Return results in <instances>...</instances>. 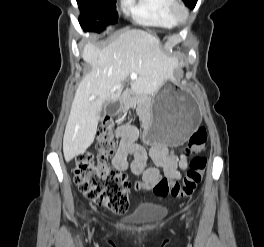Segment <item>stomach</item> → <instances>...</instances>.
<instances>
[{
	"label": "stomach",
	"mask_w": 264,
	"mask_h": 247,
	"mask_svg": "<svg viewBox=\"0 0 264 247\" xmlns=\"http://www.w3.org/2000/svg\"><path fill=\"white\" fill-rule=\"evenodd\" d=\"M199 122L194 98L182 86H175V82H164L151 100V119L146 124L145 137L150 143L180 147L182 142L189 141Z\"/></svg>",
	"instance_id": "0dacf381"
}]
</instances>
